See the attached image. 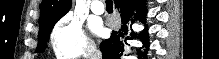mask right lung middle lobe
<instances>
[{
  "label": "right lung middle lobe",
  "mask_w": 219,
  "mask_h": 59,
  "mask_svg": "<svg viewBox=\"0 0 219 59\" xmlns=\"http://www.w3.org/2000/svg\"><path fill=\"white\" fill-rule=\"evenodd\" d=\"M56 22L47 25L46 27L43 28H39V32H38V45L37 48L35 50V53H41L44 51L45 47H46V42L49 41V35L52 31V28L54 27Z\"/></svg>",
  "instance_id": "right-lung-middle-lobe-1"
}]
</instances>
